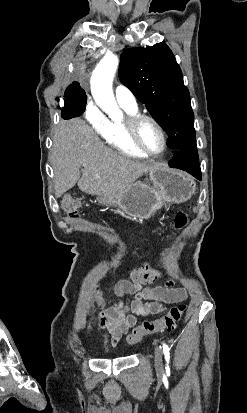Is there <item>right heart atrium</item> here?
<instances>
[{
	"label": "right heart atrium",
	"mask_w": 247,
	"mask_h": 413,
	"mask_svg": "<svg viewBox=\"0 0 247 413\" xmlns=\"http://www.w3.org/2000/svg\"><path fill=\"white\" fill-rule=\"evenodd\" d=\"M85 110L83 112V117L88 119L91 127L94 128L95 133H106L107 132V120L106 112L102 110L100 105H96L94 100H85L83 103Z\"/></svg>",
	"instance_id": "1"
}]
</instances>
